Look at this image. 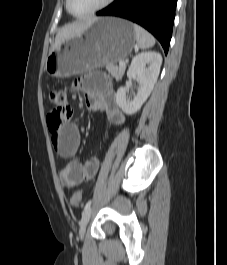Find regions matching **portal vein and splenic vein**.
I'll list each match as a JSON object with an SVG mask.
<instances>
[{
	"instance_id": "18ae733b",
	"label": "portal vein and splenic vein",
	"mask_w": 227,
	"mask_h": 265,
	"mask_svg": "<svg viewBox=\"0 0 227 265\" xmlns=\"http://www.w3.org/2000/svg\"><path fill=\"white\" fill-rule=\"evenodd\" d=\"M119 66H120V67H124V66H125V62L120 61V62H119Z\"/></svg>"
}]
</instances>
